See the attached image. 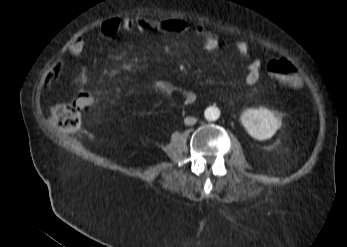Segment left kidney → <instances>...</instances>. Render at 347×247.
<instances>
[{
    "label": "left kidney",
    "mask_w": 347,
    "mask_h": 247,
    "mask_svg": "<svg viewBox=\"0 0 347 247\" xmlns=\"http://www.w3.org/2000/svg\"><path fill=\"white\" fill-rule=\"evenodd\" d=\"M240 119L247 132L257 140L271 138L281 127L280 116L266 108L247 109Z\"/></svg>",
    "instance_id": "obj_1"
}]
</instances>
